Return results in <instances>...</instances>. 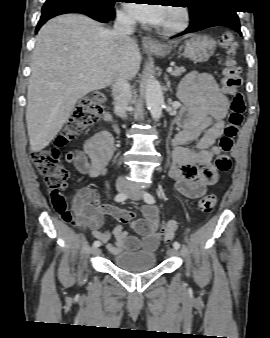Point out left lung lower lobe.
Returning a JSON list of instances; mask_svg holds the SVG:
<instances>
[{"label":"left lung lower lobe","mask_w":270,"mask_h":338,"mask_svg":"<svg viewBox=\"0 0 270 338\" xmlns=\"http://www.w3.org/2000/svg\"><path fill=\"white\" fill-rule=\"evenodd\" d=\"M214 26L230 27L234 29L235 31H237L240 35H242L240 31L238 15L236 14L235 10H231V9H225L224 11L210 15L204 18L202 21H200L196 25L189 26L185 31H183L179 35H183V34L190 33V32H197L202 29H206V28L214 27Z\"/></svg>","instance_id":"0a47b994"}]
</instances>
